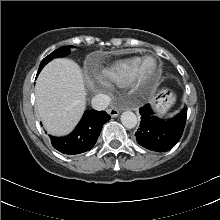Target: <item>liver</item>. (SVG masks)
I'll list each match as a JSON object with an SVG mask.
<instances>
[{
	"label": "liver",
	"instance_id": "obj_1",
	"mask_svg": "<svg viewBox=\"0 0 220 220\" xmlns=\"http://www.w3.org/2000/svg\"><path fill=\"white\" fill-rule=\"evenodd\" d=\"M35 97L45 129L52 135L68 134L86 106L85 85L78 64L66 58L48 63L36 81Z\"/></svg>",
	"mask_w": 220,
	"mask_h": 220
}]
</instances>
